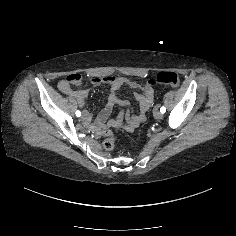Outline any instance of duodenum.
<instances>
[{"instance_id": "obj_1", "label": "duodenum", "mask_w": 236, "mask_h": 236, "mask_svg": "<svg viewBox=\"0 0 236 236\" xmlns=\"http://www.w3.org/2000/svg\"><path fill=\"white\" fill-rule=\"evenodd\" d=\"M106 82L110 83L112 85V90L113 91L118 89L124 83L123 80L115 79V78L106 79ZM131 85L133 87H137V85L135 83H133ZM71 96H73L77 100V102L79 104L84 102V98L79 96V95L72 94ZM148 98H149V95L147 93V88H145V95L140 100L141 108L147 104ZM109 100H110V102L116 103V104H119V105H124L125 104V102L123 100L119 99L114 93L110 96ZM112 125L123 126V127L129 128V127H131L133 125V122H130V123L126 124V125H122L121 123L114 121V122H112Z\"/></svg>"}]
</instances>
